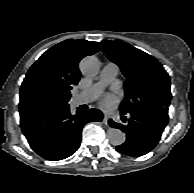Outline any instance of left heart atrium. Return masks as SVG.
Returning <instances> with one entry per match:
<instances>
[{
    "mask_svg": "<svg viewBox=\"0 0 194 193\" xmlns=\"http://www.w3.org/2000/svg\"><path fill=\"white\" fill-rule=\"evenodd\" d=\"M116 98L111 94H106L100 101V104L105 109H112L116 105Z\"/></svg>",
    "mask_w": 194,
    "mask_h": 193,
    "instance_id": "39dd6f15",
    "label": "left heart atrium"
}]
</instances>
